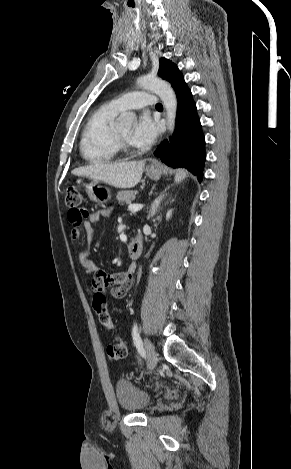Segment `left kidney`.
<instances>
[{
    "label": "left kidney",
    "mask_w": 291,
    "mask_h": 469,
    "mask_svg": "<svg viewBox=\"0 0 291 469\" xmlns=\"http://www.w3.org/2000/svg\"><path fill=\"white\" fill-rule=\"evenodd\" d=\"M171 215H172V210H169V211L167 212L166 218L169 219Z\"/></svg>",
    "instance_id": "5707ae66"
}]
</instances>
